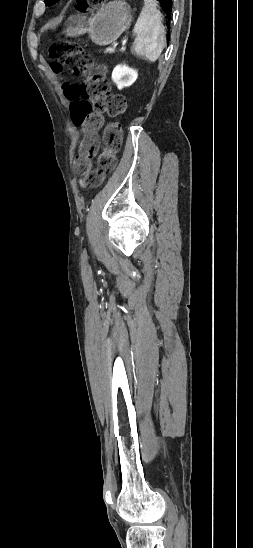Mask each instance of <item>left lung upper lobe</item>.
<instances>
[{
    "instance_id": "5c2ea615",
    "label": "left lung upper lobe",
    "mask_w": 253,
    "mask_h": 548,
    "mask_svg": "<svg viewBox=\"0 0 253 548\" xmlns=\"http://www.w3.org/2000/svg\"><path fill=\"white\" fill-rule=\"evenodd\" d=\"M59 0H44L46 6H51L58 2Z\"/></svg>"
}]
</instances>
